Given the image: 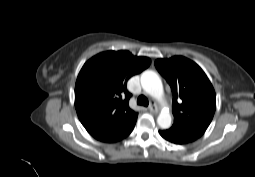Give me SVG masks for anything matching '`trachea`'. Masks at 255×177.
Returning a JSON list of instances; mask_svg holds the SVG:
<instances>
[{"label":"trachea","instance_id":"obj_1","mask_svg":"<svg viewBox=\"0 0 255 177\" xmlns=\"http://www.w3.org/2000/svg\"><path fill=\"white\" fill-rule=\"evenodd\" d=\"M137 104L142 106H148L149 101L144 95H140L137 99Z\"/></svg>","mask_w":255,"mask_h":177}]
</instances>
